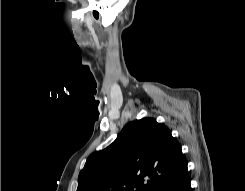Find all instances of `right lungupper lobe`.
<instances>
[{
    "instance_id": "obj_1",
    "label": "right lung upper lobe",
    "mask_w": 245,
    "mask_h": 191,
    "mask_svg": "<svg viewBox=\"0 0 245 191\" xmlns=\"http://www.w3.org/2000/svg\"><path fill=\"white\" fill-rule=\"evenodd\" d=\"M186 167L168 128L142 118L128 123L111 145L88 157L77 191H155Z\"/></svg>"
}]
</instances>
